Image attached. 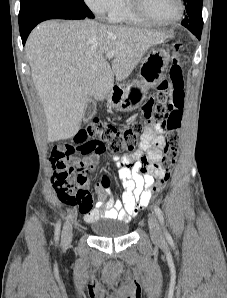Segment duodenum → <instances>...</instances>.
Masks as SVG:
<instances>
[{"label": "duodenum", "instance_id": "duodenum-1", "mask_svg": "<svg viewBox=\"0 0 227 298\" xmlns=\"http://www.w3.org/2000/svg\"><path fill=\"white\" fill-rule=\"evenodd\" d=\"M120 92H121V90H120V88L117 87V86H114V87L112 88V90H111V94H112L113 96L119 95Z\"/></svg>", "mask_w": 227, "mask_h": 298}]
</instances>
